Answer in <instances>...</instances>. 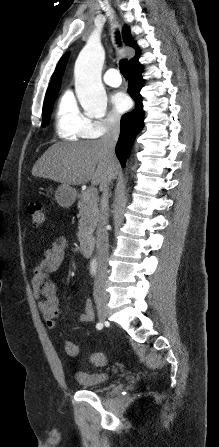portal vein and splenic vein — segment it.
Returning a JSON list of instances; mask_svg holds the SVG:
<instances>
[{"label": "portal vein and splenic vein", "instance_id": "obj_1", "mask_svg": "<svg viewBox=\"0 0 219 447\" xmlns=\"http://www.w3.org/2000/svg\"><path fill=\"white\" fill-rule=\"evenodd\" d=\"M87 191H88L89 196H94L95 194H97V192L94 188H90Z\"/></svg>", "mask_w": 219, "mask_h": 447}]
</instances>
